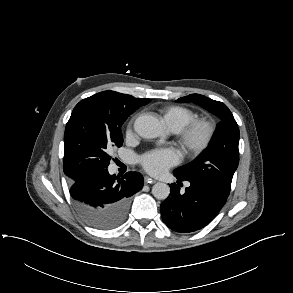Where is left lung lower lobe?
<instances>
[{
  "instance_id": "0a47b994",
  "label": "left lung lower lobe",
  "mask_w": 293,
  "mask_h": 293,
  "mask_svg": "<svg viewBox=\"0 0 293 293\" xmlns=\"http://www.w3.org/2000/svg\"><path fill=\"white\" fill-rule=\"evenodd\" d=\"M178 185L188 181L190 186L180 192L178 185L171 184V193L161 204L164 223L173 231L189 233L209 224L227 201L229 190L221 186L192 177H181L174 173Z\"/></svg>"
}]
</instances>
